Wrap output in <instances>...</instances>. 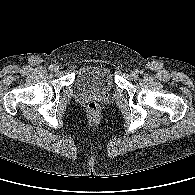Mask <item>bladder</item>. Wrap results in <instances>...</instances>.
Masks as SVG:
<instances>
[{"label": "bladder", "mask_w": 195, "mask_h": 195, "mask_svg": "<svg viewBox=\"0 0 195 195\" xmlns=\"http://www.w3.org/2000/svg\"><path fill=\"white\" fill-rule=\"evenodd\" d=\"M76 87L83 93L107 94L114 88L111 68L105 64L83 66L76 77Z\"/></svg>", "instance_id": "obj_1"}]
</instances>
